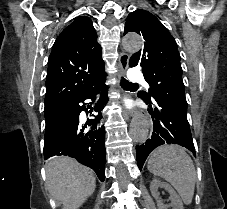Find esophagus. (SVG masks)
<instances>
[{
	"mask_svg": "<svg viewBox=\"0 0 227 209\" xmlns=\"http://www.w3.org/2000/svg\"><path fill=\"white\" fill-rule=\"evenodd\" d=\"M129 55L125 52H122L119 56V64H120V70H119V75L125 76L126 71L129 66ZM130 112L133 113V116H135V120L137 121H146V124H149V121H152V116H150V112H146V108H131ZM149 129H154L155 125L154 124H149L148 125ZM149 138L153 137L152 133L148 134Z\"/></svg>",
	"mask_w": 227,
	"mask_h": 209,
	"instance_id": "1",
	"label": "esophagus"
}]
</instances>
